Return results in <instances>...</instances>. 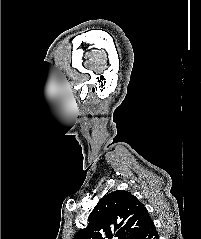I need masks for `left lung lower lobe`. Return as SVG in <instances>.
Returning a JSON list of instances; mask_svg holds the SVG:
<instances>
[{"mask_svg": "<svg viewBox=\"0 0 201 239\" xmlns=\"http://www.w3.org/2000/svg\"><path fill=\"white\" fill-rule=\"evenodd\" d=\"M133 239H159V235L152 220L146 223L144 228L137 233Z\"/></svg>", "mask_w": 201, "mask_h": 239, "instance_id": "left-lung-lower-lobe-1", "label": "left lung lower lobe"}]
</instances>
